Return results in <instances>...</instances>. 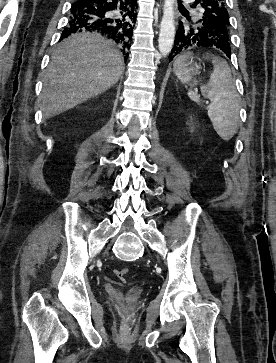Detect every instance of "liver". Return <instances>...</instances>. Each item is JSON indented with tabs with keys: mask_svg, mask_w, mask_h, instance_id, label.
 Here are the masks:
<instances>
[{
	"mask_svg": "<svg viewBox=\"0 0 276 363\" xmlns=\"http://www.w3.org/2000/svg\"><path fill=\"white\" fill-rule=\"evenodd\" d=\"M123 72V56L112 41L91 33L68 37L54 50L44 75L41 100L45 118L107 91Z\"/></svg>",
	"mask_w": 276,
	"mask_h": 363,
	"instance_id": "obj_1",
	"label": "liver"
}]
</instances>
